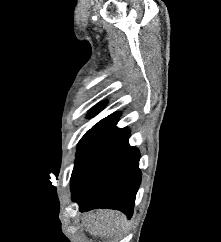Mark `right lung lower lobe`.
<instances>
[{
    "mask_svg": "<svg viewBox=\"0 0 221 242\" xmlns=\"http://www.w3.org/2000/svg\"><path fill=\"white\" fill-rule=\"evenodd\" d=\"M116 124L117 119L94 131L77 151L70 182L80 212L109 208L132 216L140 154L128 144L129 130Z\"/></svg>",
    "mask_w": 221,
    "mask_h": 242,
    "instance_id": "1",
    "label": "right lung lower lobe"
}]
</instances>
